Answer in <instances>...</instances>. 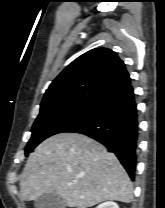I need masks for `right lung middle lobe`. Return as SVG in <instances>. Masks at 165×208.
Returning <instances> with one entry per match:
<instances>
[{
	"label": "right lung middle lobe",
	"mask_w": 165,
	"mask_h": 208,
	"mask_svg": "<svg viewBox=\"0 0 165 208\" xmlns=\"http://www.w3.org/2000/svg\"><path fill=\"white\" fill-rule=\"evenodd\" d=\"M95 104L67 102L49 105L40 108V113L32 127V137L29 140L25 155L46 138L65 132L85 118L94 108Z\"/></svg>",
	"instance_id": "obj_1"
}]
</instances>
